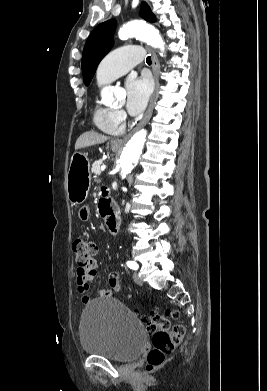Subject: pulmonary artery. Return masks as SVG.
Wrapping results in <instances>:
<instances>
[{
    "label": "pulmonary artery",
    "mask_w": 267,
    "mask_h": 391,
    "mask_svg": "<svg viewBox=\"0 0 267 391\" xmlns=\"http://www.w3.org/2000/svg\"><path fill=\"white\" fill-rule=\"evenodd\" d=\"M144 58V51L135 45H126L110 52L98 66L96 81L99 86L112 82L127 73Z\"/></svg>",
    "instance_id": "e3ab8cb5"
}]
</instances>
